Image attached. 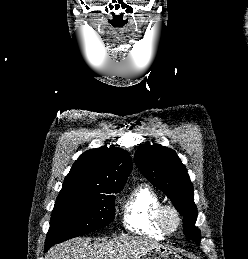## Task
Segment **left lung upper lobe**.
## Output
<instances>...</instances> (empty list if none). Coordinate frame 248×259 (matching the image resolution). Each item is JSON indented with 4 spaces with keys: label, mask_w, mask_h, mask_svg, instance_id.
<instances>
[{
    "label": "left lung upper lobe",
    "mask_w": 248,
    "mask_h": 259,
    "mask_svg": "<svg viewBox=\"0 0 248 259\" xmlns=\"http://www.w3.org/2000/svg\"><path fill=\"white\" fill-rule=\"evenodd\" d=\"M135 164L154 186L170 198L183 216V233L199 244L200 230L195 226L197 208L193 185L174 150L159 144L142 146L135 153Z\"/></svg>",
    "instance_id": "obj_1"
}]
</instances>
